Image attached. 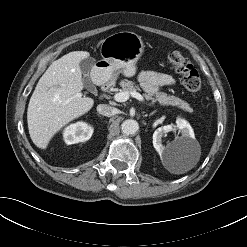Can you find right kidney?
<instances>
[{"mask_svg":"<svg viewBox=\"0 0 247 247\" xmlns=\"http://www.w3.org/2000/svg\"><path fill=\"white\" fill-rule=\"evenodd\" d=\"M93 134V128L85 122L70 124L63 131V138L66 144H76L87 141Z\"/></svg>","mask_w":247,"mask_h":247,"instance_id":"obj_1","label":"right kidney"}]
</instances>
